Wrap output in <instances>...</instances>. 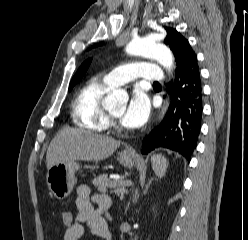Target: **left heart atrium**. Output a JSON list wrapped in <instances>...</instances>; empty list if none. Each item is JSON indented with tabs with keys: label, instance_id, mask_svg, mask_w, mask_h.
<instances>
[{
	"label": "left heart atrium",
	"instance_id": "1",
	"mask_svg": "<svg viewBox=\"0 0 248 240\" xmlns=\"http://www.w3.org/2000/svg\"><path fill=\"white\" fill-rule=\"evenodd\" d=\"M150 112V101L141 89H134L129 103L121 117L122 123L129 128H137L145 123Z\"/></svg>",
	"mask_w": 248,
	"mask_h": 240
}]
</instances>
